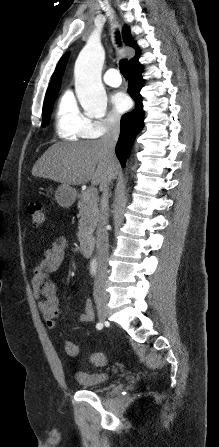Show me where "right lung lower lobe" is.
I'll return each instance as SVG.
<instances>
[{
    "instance_id": "1",
    "label": "right lung lower lobe",
    "mask_w": 219,
    "mask_h": 447,
    "mask_svg": "<svg viewBox=\"0 0 219 447\" xmlns=\"http://www.w3.org/2000/svg\"><path fill=\"white\" fill-rule=\"evenodd\" d=\"M142 65L138 62L129 67V82L128 93L135 101V109L124 114L120 123V136L116 144V155L121 162L122 167L125 166L126 158L129 154L136 135L143 127V104L140 90L143 86V79L141 76Z\"/></svg>"
}]
</instances>
